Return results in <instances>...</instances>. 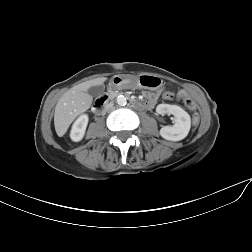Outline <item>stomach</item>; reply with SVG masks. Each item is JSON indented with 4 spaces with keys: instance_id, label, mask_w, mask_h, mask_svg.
<instances>
[{
    "instance_id": "0dacf381",
    "label": "stomach",
    "mask_w": 252,
    "mask_h": 252,
    "mask_svg": "<svg viewBox=\"0 0 252 252\" xmlns=\"http://www.w3.org/2000/svg\"><path fill=\"white\" fill-rule=\"evenodd\" d=\"M111 84L116 87L131 84L140 89H149L154 91L159 88L160 82L156 76L151 74H141L134 78L115 75L111 79Z\"/></svg>"
}]
</instances>
